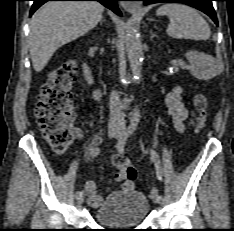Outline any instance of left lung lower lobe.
I'll return each instance as SVG.
<instances>
[{
	"label": "left lung lower lobe",
	"instance_id": "obj_1",
	"mask_svg": "<svg viewBox=\"0 0 234 231\" xmlns=\"http://www.w3.org/2000/svg\"><path fill=\"white\" fill-rule=\"evenodd\" d=\"M143 1L145 5L160 3V2H180L187 5H190L210 16L213 21L218 25L217 17L212 6L213 0H140Z\"/></svg>",
	"mask_w": 234,
	"mask_h": 231
}]
</instances>
